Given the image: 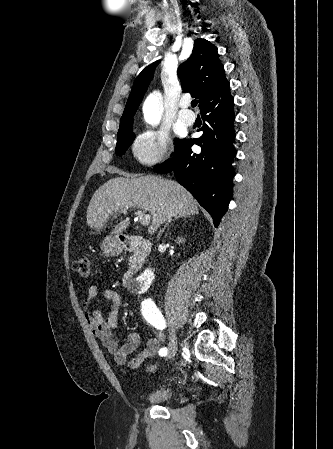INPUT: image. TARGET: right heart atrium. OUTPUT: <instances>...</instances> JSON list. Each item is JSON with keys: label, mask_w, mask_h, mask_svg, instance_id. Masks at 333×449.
Segmentation results:
<instances>
[{"label": "right heart atrium", "mask_w": 333, "mask_h": 449, "mask_svg": "<svg viewBox=\"0 0 333 449\" xmlns=\"http://www.w3.org/2000/svg\"><path fill=\"white\" fill-rule=\"evenodd\" d=\"M169 152V137L158 131L140 133L132 144V153L140 163L155 165L162 162Z\"/></svg>", "instance_id": "right-heart-atrium-1"}]
</instances>
